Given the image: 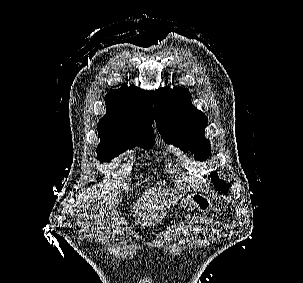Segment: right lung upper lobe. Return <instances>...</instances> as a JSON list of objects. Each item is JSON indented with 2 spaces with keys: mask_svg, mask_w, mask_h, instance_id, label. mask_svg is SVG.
Wrapping results in <instances>:
<instances>
[{
  "mask_svg": "<svg viewBox=\"0 0 303 283\" xmlns=\"http://www.w3.org/2000/svg\"><path fill=\"white\" fill-rule=\"evenodd\" d=\"M106 114L98 123V132H124L132 128H152L153 92L123 84L105 97Z\"/></svg>",
  "mask_w": 303,
  "mask_h": 283,
  "instance_id": "right-lung-upper-lobe-1",
  "label": "right lung upper lobe"
}]
</instances>
